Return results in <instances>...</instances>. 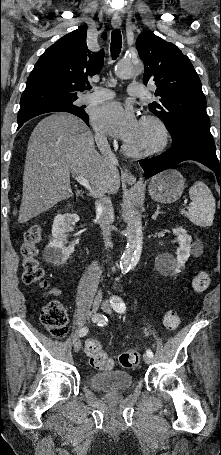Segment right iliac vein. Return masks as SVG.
I'll return each instance as SVG.
<instances>
[{
    "mask_svg": "<svg viewBox=\"0 0 221 455\" xmlns=\"http://www.w3.org/2000/svg\"><path fill=\"white\" fill-rule=\"evenodd\" d=\"M102 302V298L100 296H96L93 300V310H97ZM81 348V341L76 340L74 343V350L78 352Z\"/></svg>",
    "mask_w": 221,
    "mask_h": 455,
    "instance_id": "63e3f726",
    "label": "right iliac vein"
}]
</instances>
